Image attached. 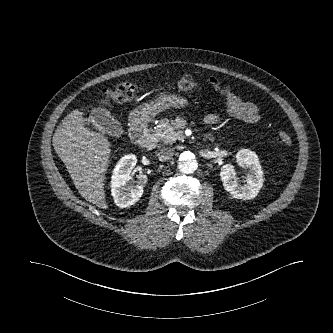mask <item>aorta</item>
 <instances>
[{"label":"aorta","instance_id":"1","mask_svg":"<svg viewBox=\"0 0 333 333\" xmlns=\"http://www.w3.org/2000/svg\"><path fill=\"white\" fill-rule=\"evenodd\" d=\"M178 168L182 173L192 174L198 168L195 155L191 151L181 152L178 160Z\"/></svg>","mask_w":333,"mask_h":333}]
</instances>
